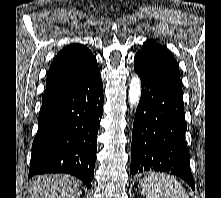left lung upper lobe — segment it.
I'll return each mask as SVG.
<instances>
[{
    "instance_id": "5c2ea615",
    "label": "left lung upper lobe",
    "mask_w": 221,
    "mask_h": 198,
    "mask_svg": "<svg viewBox=\"0 0 221 198\" xmlns=\"http://www.w3.org/2000/svg\"><path fill=\"white\" fill-rule=\"evenodd\" d=\"M136 55L147 60L182 88L178 64L165 46L157 44L154 40H147Z\"/></svg>"
}]
</instances>
